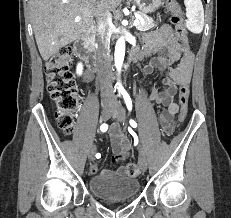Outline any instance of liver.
I'll list each match as a JSON object with an SVG mask.
<instances>
[{"mask_svg":"<svg viewBox=\"0 0 231 218\" xmlns=\"http://www.w3.org/2000/svg\"><path fill=\"white\" fill-rule=\"evenodd\" d=\"M121 0H30V17L44 61L94 28L100 9L115 10ZM79 17V21L75 18Z\"/></svg>","mask_w":231,"mask_h":218,"instance_id":"6515ba94","label":"liver"}]
</instances>
